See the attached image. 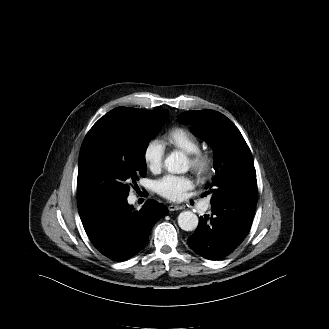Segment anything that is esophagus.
Wrapping results in <instances>:
<instances>
[{
	"label": "esophagus",
	"instance_id": "obj_1",
	"mask_svg": "<svg viewBox=\"0 0 329 329\" xmlns=\"http://www.w3.org/2000/svg\"><path fill=\"white\" fill-rule=\"evenodd\" d=\"M182 208H183L182 206L174 205V204L168 206L169 211L181 210Z\"/></svg>",
	"mask_w": 329,
	"mask_h": 329
}]
</instances>
